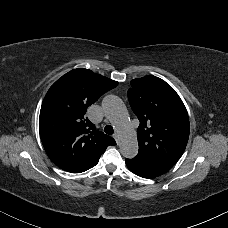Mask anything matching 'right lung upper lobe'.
<instances>
[{"label":"right lung upper lobe","mask_w":228,"mask_h":228,"mask_svg":"<svg viewBox=\"0 0 228 228\" xmlns=\"http://www.w3.org/2000/svg\"><path fill=\"white\" fill-rule=\"evenodd\" d=\"M117 85L91 70L78 68L50 87L40 110L39 132L47 155L58 167L76 173L116 144L95 128L86 110Z\"/></svg>","instance_id":"right-lung-upper-lobe-1"}]
</instances>
